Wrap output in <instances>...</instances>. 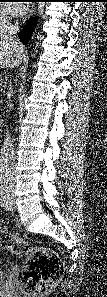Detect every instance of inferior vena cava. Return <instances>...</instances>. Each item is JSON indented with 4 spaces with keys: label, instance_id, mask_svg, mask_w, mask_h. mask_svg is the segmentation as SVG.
<instances>
[{
    "label": "inferior vena cava",
    "instance_id": "obj_1",
    "mask_svg": "<svg viewBox=\"0 0 107 297\" xmlns=\"http://www.w3.org/2000/svg\"><path fill=\"white\" fill-rule=\"evenodd\" d=\"M0 36L6 37L12 43L19 42L16 35L19 30L18 23L11 24L8 19H4L1 28ZM1 171L5 176L6 180L11 182L14 174V149L13 144L10 139L9 133H7L6 138L3 142V153L1 159Z\"/></svg>",
    "mask_w": 107,
    "mask_h": 297
}]
</instances>
